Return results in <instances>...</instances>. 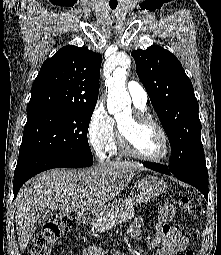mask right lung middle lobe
I'll return each mask as SVG.
<instances>
[{
  "label": "right lung middle lobe",
  "mask_w": 221,
  "mask_h": 255,
  "mask_svg": "<svg viewBox=\"0 0 221 255\" xmlns=\"http://www.w3.org/2000/svg\"><path fill=\"white\" fill-rule=\"evenodd\" d=\"M94 108L27 112L19 154L36 151L93 161L87 132Z\"/></svg>",
  "instance_id": "right-lung-middle-lobe-1"
}]
</instances>
